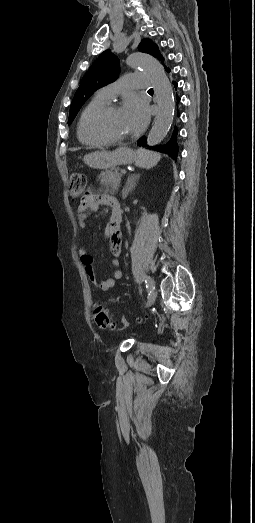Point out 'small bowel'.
Here are the masks:
<instances>
[{
  "label": "small bowel",
  "mask_w": 255,
  "mask_h": 523,
  "mask_svg": "<svg viewBox=\"0 0 255 523\" xmlns=\"http://www.w3.org/2000/svg\"><path fill=\"white\" fill-rule=\"evenodd\" d=\"M109 197L103 195H87V197L81 201L78 206V225L81 230L86 228V220L91 212L96 211L100 205H108L107 199ZM105 235L109 241V249L114 258L112 259V265L119 267L120 261L119 256L121 253V239L118 226L112 225L110 222L105 226ZM79 258L85 267L86 274L90 282L100 289L101 291H108L115 285V280L122 277V271L116 269L114 272V278H107L99 280L96 276L93 268V258L84 247H79L78 250Z\"/></svg>",
  "instance_id": "1"
}]
</instances>
